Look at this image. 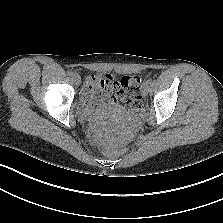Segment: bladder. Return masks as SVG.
Wrapping results in <instances>:
<instances>
[{"label":"bladder","instance_id":"31cf9c89","mask_svg":"<svg viewBox=\"0 0 223 223\" xmlns=\"http://www.w3.org/2000/svg\"><path fill=\"white\" fill-rule=\"evenodd\" d=\"M101 110L105 111L106 113H118V110H117V106H114V105H107V104H104V105H100L98 106Z\"/></svg>","mask_w":223,"mask_h":223}]
</instances>
